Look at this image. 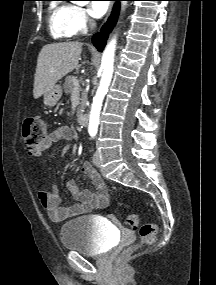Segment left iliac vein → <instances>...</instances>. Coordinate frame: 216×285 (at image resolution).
I'll use <instances>...</instances> for the list:
<instances>
[{"instance_id":"obj_1","label":"left iliac vein","mask_w":216,"mask_h":285,"mask_svg":"<svg viewBox=\"0 0 216 285\" xmlns=\"http://www.w3.org/2000/svg\"><path fill=\"white\" fill-rule=\"evenodd\" d=\"M93 164L96 167H100V165H101V158H100V154L98 151H95V153L93 155Z\"/></svg>"}]
</instances>
